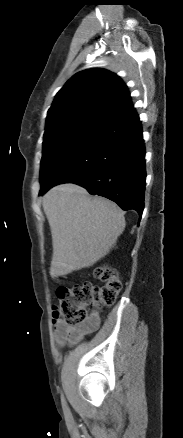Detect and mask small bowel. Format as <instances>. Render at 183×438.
<instances>
[{"label": "small bowel", "mask_w": 183, "mask_h": 438, "mask_svg": "<svg viewBox=\"0 0 183 438\" xmlns=\"http://www.w3.org/2000/svg\"><path fill=\"white\" fill-rule=\"evenodd\" d=\"M101 323V317L98 312L89 315L87 321L81 327H70L62 320L55 321V337L59 344L64 342L76 343L85 335L97 330Z\"/></svg>", "instance_id": "small-bowel-1"}]
</instances>
